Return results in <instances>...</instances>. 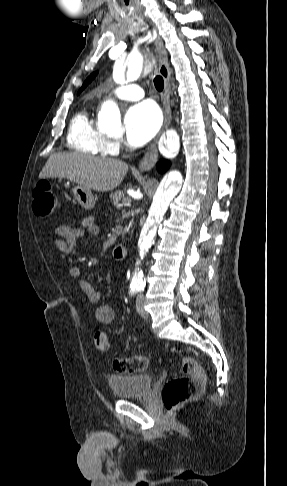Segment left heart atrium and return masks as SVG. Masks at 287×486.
I'll return each instance as SVG.
<instances>
[{
	"label": "left heart atrium",
	"mask_w": 287,
	"mask_h": 486,
	"mask_svg": "<svg viewBox=\"0 0 287 486\" xmlns=\"http://www.w3.org/2000/svg\"><path fill=\"white\" fill-rule=\"evenodd\" d=\"M161 115L151 102H142L132 106L124 118L127 142L134 147L147 143L158 131Z\"/></svg>",
	"instance_id": "left-heart-atrium-1"
}]
</instances>
